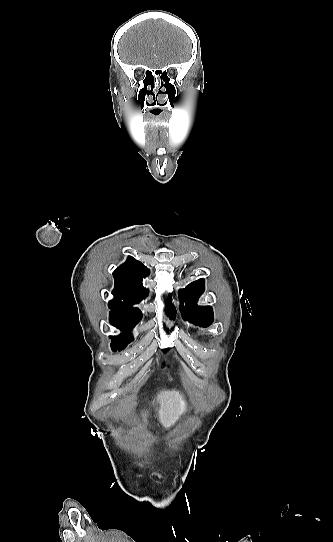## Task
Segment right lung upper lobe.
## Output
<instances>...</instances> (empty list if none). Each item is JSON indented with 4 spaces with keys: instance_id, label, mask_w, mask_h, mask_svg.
Instances as JSON below:
<instances>
[{
    "instance_id": "right-lung-upper-lobe-1",
    "label": "right lung upper lobe",
    "mask_w": 333,
    "mask_h": 542,
    "mask_svg": "<svg viewBox=\"0 0 333 542\" xmlns=\"http://www.w3.org/2000/svg\"><path fill=\"white\" fill-rule=\"evenodd\" d=\"M148 273L147 267L133 257H129L127 263L113 272L115 289L113 291L114 299L109 302L111 317L140 320L141 311L120 300L123 299L128 304H135L145 298L147 290L144 288L142 280ZM167 309L168 313L174 317L176 310L170 301L167 303Z\"/></svg>"
}]
</instances>
